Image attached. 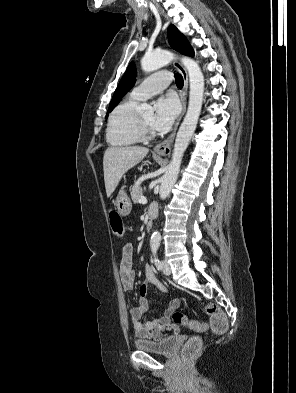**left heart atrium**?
Masks as SVG:
<instances>
[{"instance_id": "left-heart-atrium-1", "label": "left heart atrium", "mask_w": 296, "mask_h": 393, "mask_svg": "<svg viewBox=\"0 0 296 393\" xmlns=\"http://www.w3.org/2000/svg\"><path fill=\"white\" fill-rule=\"evenodd\" d=\"M180 110L178 100L172 94L160 97L155 103V113L151 126L157 131L167 130Z\"/></svg>"}]
</instances>
